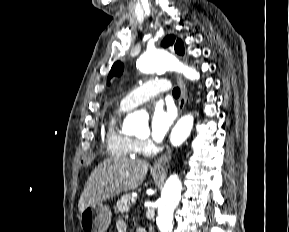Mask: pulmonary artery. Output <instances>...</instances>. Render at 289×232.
I'll use <instances>...</instances> for the list:
<instances>
[{"label": "pulmonary artery", "instance_id": "e3ab8cb5", "mask_svg": "<svg viewBox=\"0 0 289 232\" xmlns=\"http://www.w3.org/2000/svg\"><path fill=\"white\" fill-rule=\"evenodd\" d=\"M169 88V82L165 79L149 80L127 94L122 99L121 105L128 110L133 109L157 94L168 91Z\"/></svg>", "mask_w": 289, "mask_h": 232}]
</instances>
